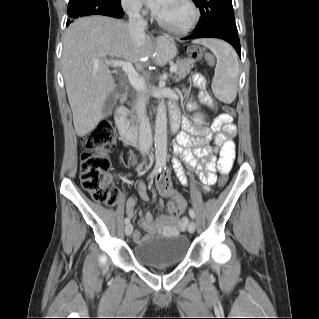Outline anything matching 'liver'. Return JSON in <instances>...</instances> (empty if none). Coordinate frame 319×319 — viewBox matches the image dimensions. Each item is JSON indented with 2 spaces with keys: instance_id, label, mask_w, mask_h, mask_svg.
Returning <instances> with one entry per match:
<instances>
[{
  "instance_id": "1",
  "label": "liver",
  "mask_w": 319,
  "mask_h": 319,
  "mask_svg": "<svg viewBox=\"0 0 319 319\" xmlns=\"http://www.w3.org/2000/svg\"><path fill=\"white\" fill-rule=\"evenodd\" d=\"M157 51V49H156ZM150 37L137 47L130 36L128 24L110 17L91 16L74 21L63 41L62 72L78 136L94 130L104 116L103 107L116 88L108 65L95 59L107 56L137 62L152 54ZM157 63L161 64L157 51Z\"/></svg>"
}]
</instances>
